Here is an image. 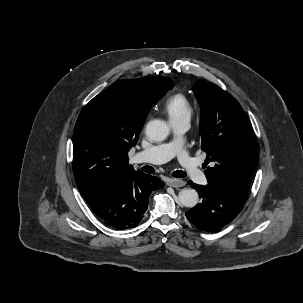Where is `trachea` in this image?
I'll return each instance as SVG.
<instances>
[{
  "instance_id": "trachea-1",
  "label": "trachea",
  "mask_w": 303,
  "mask_h": 303,
  "mask_svg": "<svg viewBox=\"0 0 303 303\" xmlns=\"http://www.w3.org/2000/svg\"><path fill=\"white\" fill-rule=\"evenodd\" d=\"M172 176L176 178H184L186 177V173L184 171L177 170L172 173Z\"/></svg>"
}]
</instances>
